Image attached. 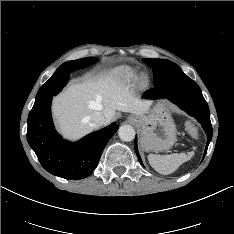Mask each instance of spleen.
Instances as JSON below:
<instances>
[{
  "label": "spleen",
  "mask_w": 234,
  "mask_h": 234,
  "mask_svg": "<svg viewBox=\"0 0 234 234\" xmlns=\"http://www.w3.org/2000/svg\"><path fill=\"white\" fill-rule=\"evenodd\" d=\"M192 152L189 153H174L170 155L160 156L156 154H149L148 161L152 168L158 173L168 175L175 172L180 165L191 159Z\"/></svg>",
  "instance_id": "1"
}]
</instances>
